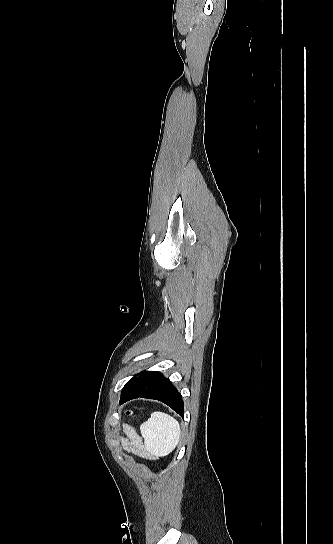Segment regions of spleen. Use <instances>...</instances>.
Returning <instances> with one entry per match:
<instances>
[{"label": "spleen", "instance_id": "3e777b00", "mask_svg": "<svg viewBox=\"0 0 333 544\" xmlns=\"http://www.w3.org/2000/svg\"><path fill=\"white\" fill-rule=\"evenodd\" d=\"M140 430L149 451L159 456L171 453L181 435L178 421L160 411L153 412L151 417L141 424Z\"/></svg>", "mask_w": 333, "mask_h": 544}]
</instances>
